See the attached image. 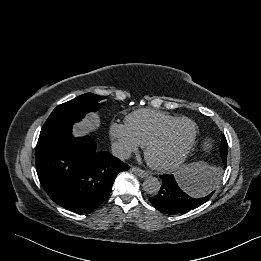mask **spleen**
I'll list each match as a JSON object with an SVG mask.
<instances>
[{"label": "spleen", "instance_id": "obj_1", "mask_svg": "<svg viewBox=\"0 0 261 261\" xmlns=\"http://www.w3.org/2000/svg\"><path fill=\"white\" fill-rule=\"evenodd\" d=\"M212 170H213L212 167H210L208 164L203 162L192 163L186 168V172L188 176L191 178H194L198 174L207 173Z\"/></svg>", "mask_w": 261, "mask_h": 261}]
</instances>
